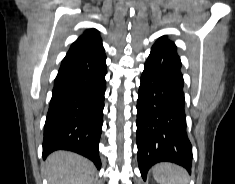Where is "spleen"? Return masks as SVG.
Segmentation results:
<instances>
[{
    "label": "spleen",
    "mask_w": 235,
    "mask_h": 184,
    "mask_svg": "<svg viewBox=\"0 0 235 184\" xmlns=\"http://www.w3.org/2000/svg\"><path fill=\"white\" fill-rule=\"evenodd\" d=\"M154 180L158 184H189L188 172L176 164H156L153 168Z\"/></svg>",
    "instance_id": "spleen-1"
}]
</instances>
